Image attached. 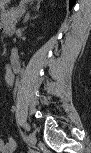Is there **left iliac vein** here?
<instances>
[{"instance_id": "obj_1", "label": "left iliac vein", "mask_w": 91, "mask_h": 153, "mask_svg": "<svg viewBox=\"0 0 91 153\" xmlns=\"http://www.w3.org/2000/svg\"><path fill=\"white\" fill-rule=\"evenodd\" d=\"M28 136H29V144L31 146H35L37 142L36 136L33 133H29Z\"/></svg>"}]
</instances>
